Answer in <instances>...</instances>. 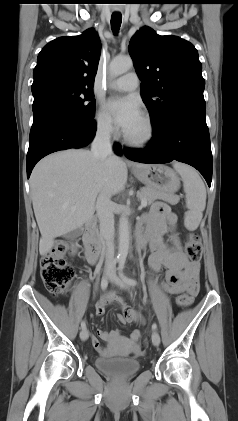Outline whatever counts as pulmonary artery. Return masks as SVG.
Listing matches in <instances>:
<instances>
[{
  "label": "pulmonary artery",
  "mask_w": 238,
  "mask_h": 421,
  "mask_svg": "<svg viewBox=\"0 0 238 421\" xmlns=\"http://www.w3.org/2000/svg\"><path fill=\"white\" fill-rule=\"evenodd\" d=\"M139 85V78L136 73L129 72L117 78L110 84V88L118 91H132Z\"/></svg>",
  "instance_id": "1"
}]
</instances>
